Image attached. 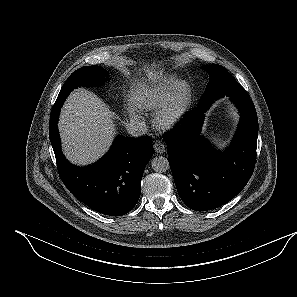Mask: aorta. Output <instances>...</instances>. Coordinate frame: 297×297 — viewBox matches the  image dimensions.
<instances>
[{
	"label": "aorta",
	"mask_w": 297,
	"mask_h": 297,
	"mask_svg": "<svg viewBox=\"0 0 297 297\" xmlns=\"http://www.w3.org/2000/svg\"><path fill=\"white\" fill-rule=\"evenodd\" d=\"M151 167L155 172H166L169 169V162L166 157L158 156L152 159Z\"/></svg>",
	"instance_id": "aorta-1"
}]
</instances>
